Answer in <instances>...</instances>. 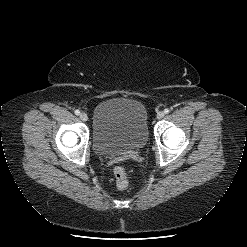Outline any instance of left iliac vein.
I'll list each match as a JSON object with an SVG mask.
<instances>
[{
    "label": "left iliac vein",
    "mask_w": 247,
    "mask_h": 247,
    "mask_svg": "<svg viewBox=\"0 0 247 247\" xmlns=\"http://www.w3.org/2000/svg\"><path fill=\"white\" fill-rule=\"evenodd\" d=\"M165 113L163 111H160L157 113V118L162 119L164 117Z\"/></svg>",
    "instance_id": "obj_1"
}]
</instances>
